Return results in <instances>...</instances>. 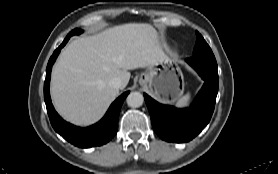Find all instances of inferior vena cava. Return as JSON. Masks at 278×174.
Here are the masks:
<instances>
[{"mask_svg":"<svg viewBox=\"0 0 278 174\" xmlns=\"http://www.w3.org/2000/svg\"><path fill=\"white\" fill-rule=\"evenodd\" d=\"M109 85L112 87V88H115V89H121L122 88V81L120 78L118 77H115L113 79H111L109 81Z\"/></svg>","mask_w":278,"mask_h":174,"instance_id":"obj_1","label":"inferior vena cava"}]
</instances>
